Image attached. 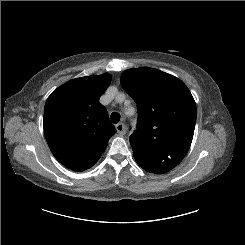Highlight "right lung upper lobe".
Masks as SVG:
<instances>
[{
  "mask_svg": "<svg viewBox=\"0 0 245 245\" xmlns=\"http://www.w3.org/2000/svg\"><path fill=\"white\" fill-rule=\"evenodd\" d=\"M110 82L108 73L76 78L54 90L46 101L45 138L56 159L69 169L92 167L115 133L99 103Z\"/></svg>",
  "mask_w": 245,
  "mask_h": 245,
  "instance_id": "cb5924a9",
  "label": "right lung upper lobe"
}]
</instances>
